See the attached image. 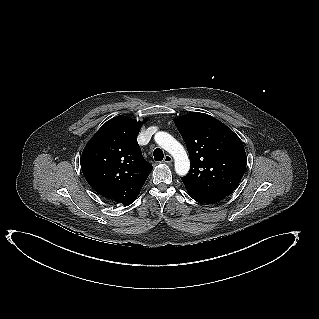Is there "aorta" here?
Returning a JSON list of instances; mask_svg holds the SVG:
<instances>
[{
  "label": "aorta",
  "mask_w": 319,
  "mask_h": 319,
  "mask_svg": "<svg viewBox=\"0 0 319 319\" xmlns=\"http://www.w3.org/2000/svg\"><path fill=\"white\" fill-rule=\"evenodd\" d=\"M155 141L173 156L176 173L179 176L187 175L190 169V162L184 147L166 132L156 133Z\"/></svg>",
  "instance_id": "aorta-1"
}]
</instances>
